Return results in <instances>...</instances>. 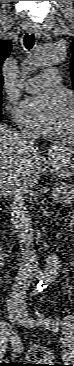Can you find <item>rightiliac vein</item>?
<instances>
[{
  "instance_id": "obj_1",
  "label": "right iliac vein",
  "mask_w": 74,
  "mask_h": 366,
  "mask_svg": "<svg viewBox=\"0 0 74 366\" xmlns=\"http://www.w3.org/2000/svg\"><path fill=\"white\" fill-rule=\"evenodd\" d=\"M10 311V314H11V319L14 321V322H19L20 319H21V313L19 311V307L16 306V307H11L9 309Z\"/></svg>"
}]
</instances>
